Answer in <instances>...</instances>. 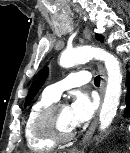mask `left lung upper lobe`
<instances>
[{"label": "left lung upper lobe", "instance_id": "left-lung-upper-lobe-1", "mask_svg": "<svg viewBox=\"0 0 130 153\" xmlns=\"http://www.w3.org/2000/svg\"><path fill=\"white\" fill-rule=\"evenodd\" d=\"M96 38L100 41H103V36H101V35H96ZM47 75H48V68H44L38 72V74L36 75L32 85L30 87L29 93H28L26 101H25V106H27L29 104V102L37 94L38 90L41 88V86L45 82Z\"/></svg>", "mask_w": 130, "mask_h": 153}]
</instances>
